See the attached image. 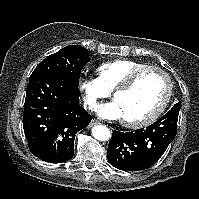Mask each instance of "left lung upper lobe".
<instances>
[{
	"mask_svg": "<svg viewBox=\"0 0 199 199\" xmlns=\"http://www.w3.org/2000/svg\"><path fill=\"white\" fill-rule=\"evenodd\" d=\"M173 108H176V109H181V103L180 102H178L177 104H175L174 106H173Z\"/></svg>",
	"mask_w": 199,
	"mask_h": 199,
	"instance_id": "5c2ea615",
	"label": "left lung upper lobe"
}]
</instances>
